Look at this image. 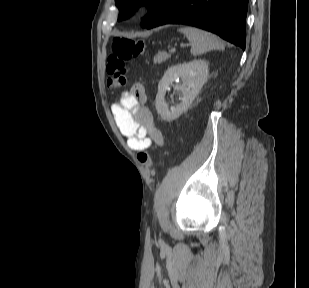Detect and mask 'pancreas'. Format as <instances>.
I'll return each mask as SVG.
<instances>
[{
	"mask_svg": "<svg viewBox=\"0 0 309 288\" xmlns=\"http://www.w3.org/2000/svg\"><path fill=\"white\" fill-rule=\"evenodd\" d=\"M170 58V55H168L167 53L163 52V53H158L155 57H154V63H162L165 62L167 59Z\"/></svg>",
	"mask_w": 309,
	"mask_h": 288,
	"instance_id": "cf45deb5",
	"label": "pancreas"
}]
</instances>
